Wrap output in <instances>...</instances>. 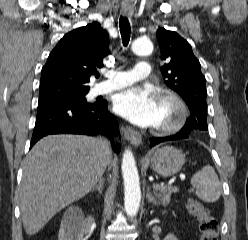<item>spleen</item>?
I'll use <instances>...</instances> for the list:
<instances>
[{
  "label": "spleen",
  "mask_w": 248,
  "mask_h": 240,
  "mask_svg": "<svg viewBox=\"0 0 248 240\" xmlns=\"http://www.w3.org/2000/svg\"><path fill=\"white\" fill-rule=\"evenodd\" d=\"M191 185L199 199L205 202H215L221 195V183L210 165L204 166L191 178Z\"/></svg>",
  "instance_id": "3e777b00"
}]
</instances>
